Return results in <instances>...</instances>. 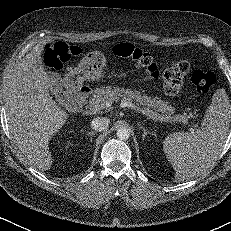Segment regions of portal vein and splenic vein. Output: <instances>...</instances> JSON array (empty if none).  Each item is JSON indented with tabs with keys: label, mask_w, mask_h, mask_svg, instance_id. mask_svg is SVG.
Masks as SVG:
<instances>
[{
	"label": "portal vein and splenic vein",
	"mask_w": 231,
	"mask_h": 231,
	"mask_svg": "<svg viewBox=\"0 0 231 231\" xmlns=\"http://www.w3.org/2000/svg\"><path fill=\"white\" fill-rule=\"evenodd\" d=\"M122 107H130L133 108L134 110L142 113L143 115L147 116L148 118L151 119H155L152 115H150L149 113H147L145 110H143L142 108H140L139 106L131 103V102H123L121 104ZM87 107L92 110V111H98L104 108V106L102 104H100V102L96 101V102H90ZM177 121L182 122L184 124H188V119L187 117H185L184 115H180L177 117ZM193 130V129H192Z\"/></svg>",
	"instance_id": "obj_1"
}]
</instances>
